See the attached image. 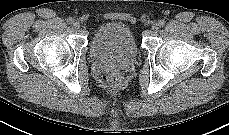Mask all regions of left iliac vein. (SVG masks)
Masks as SVG:
<instances>
[{
  "label": "left iliac vein",
  "mask_w": 229,
  "mask_h": 135,
  "mask_svg": "<svg viewBox=\"0 0 229 135\" xmlns=\"http://www.w3.org/2000/svg\"><path fill=\"white\" fill-rule=\"evenodd\" d=\"M159 24L158 23H153L152 26H151V30L153 32H157L159 30Z\"/></svg>",
  "instance_id": "1"
}]
</instances>
